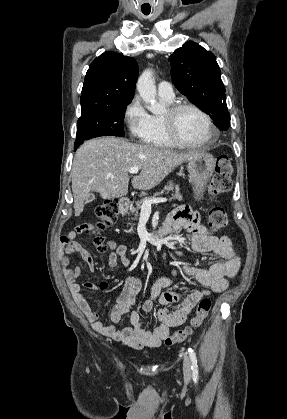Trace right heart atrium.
Here are the masks:
<instances>
[{"label":"right heart atrium","instance_id":"d8ad5b80","mask_svg":"<svg viewBox=\"0 0 287 419\" xmlns=\"http://www.w3.org/2000/svg\"><path fill=\"white\" fill-rule=\"evenodd\" d=\"M124 122L129 134L142 139L150 129L151 115L146 110L141 99L135 96L124 112Z\"/></svg>","mask_w":287,"mask_h":419}]
</instances>
